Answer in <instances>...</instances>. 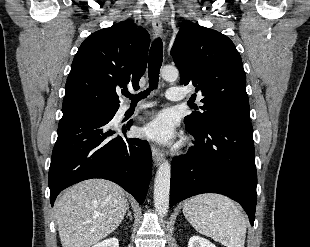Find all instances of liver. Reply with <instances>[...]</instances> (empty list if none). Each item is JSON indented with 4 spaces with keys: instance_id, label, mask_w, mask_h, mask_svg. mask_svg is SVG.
<instances>
[{
    "instance_id": "liver-1",
    "label": "liver",
    "mask_w": 310,
    "mask_h": 247,
    "mask_svg": "<svg viewBox=\"0 0 310 247\" xmlns=\"http://www.w3.org/2000/svg\"><path fill=\"white\" fill-rule=\"evenodd\" d=\"M128 201L117 184L90 179L65 190L54 205L62 247H91L122 222Z\"/></svg>"
}]
</instances>
